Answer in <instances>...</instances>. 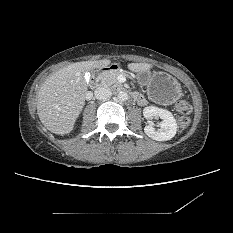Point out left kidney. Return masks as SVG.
Listing matches in <instances>:
<instances>
[{"mask_svg": "<svg viewBox=\"0 0 233 233\" xmlns=\"http://www.w3.org/2000/svg\"><path fill=\"white\" fill-rule=\"evenodd\" d=\"M143 115L146 119L161 118L159 129H155L151 123L145 126L144 132L150 138L156 141H167L176 135L177 123L170 111L155 106H147L143 110Z\"/></svg>", "mask_w": 233, "mask_h": 233, "instance_id": "left-kidney-1", "label": "left kidney"}]
</instances>
